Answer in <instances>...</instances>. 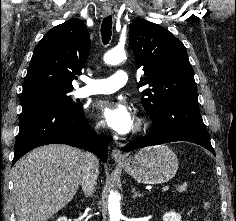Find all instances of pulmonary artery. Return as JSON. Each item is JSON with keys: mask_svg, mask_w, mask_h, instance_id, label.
<instances>
[{"mask_svg": "<svg viewBox=\"0 0 236 221\" xmlns=\"http://www.w3.org/2000/svg\"><path fill=\"white\" fill-rule=\"evenodd\" d=\"M128 81V74L124 70H117L105 79H84L85 85L76 90L77 97H87L96 94H109L122 88Z\"/></svg>", "mask_w": 236, "mask_h": 221, "instance_id": "pulmonary-artery-1", "label": "pulmonary artery"}]
</instances>
